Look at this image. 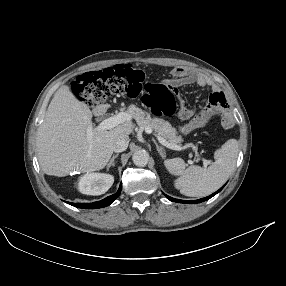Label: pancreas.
<instances>
[{"instance_id":"cf45deb5","label":"pancreas","mask_w":286,"mask_h":286,"mask_svg":"<svg viewBox=\"0 0 286 286\" xmlns=\"http://www.w3.org/2000/svg\"><path fill=\"white\" fill-rule=\"evenodd\" d=\"M127 113L136 120L140 127L152 128L155 133L167 139L169 143L177 145L182 142V138L177 135L176 129L169 122L160 118H152L148 112L135 105H130Z\"/></svg>"}]
</instances>
